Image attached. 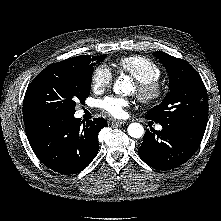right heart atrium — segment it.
Wrapping results in <instances>:
<instances>
[{"mask_svg":"<svg viewBox=\"0 0 221 221\" xmlns=\"http://www.w3.org/2000/svg\"><path fill=\"white\" fill-rule=\"evenodd\" d=\"M113 81V73L111 69L105 65H98L91 76V86L95 92H102L109 88Z\"/></svg>","mask_w":221,"mask_h":221,"instance_id":"obj_1","label":"right heart atrium"}]
</instances>
